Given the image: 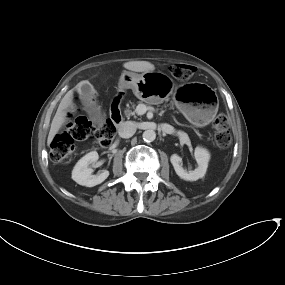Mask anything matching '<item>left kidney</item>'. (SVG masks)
Masks as SVG:
<instances>
[{
	"mask_svg": "<svg viewBox=\"0 0 285 285\" xmlns=\"http://www.w3.org/2000/svg\"><path fill=\"white\" fill-rule=\"evenodd\" d=\"M194 157L197 161L198 167L193 171H187L182 167V158L177 154L171 155L170 161L174 167L176 174L181 179L186 181H196L204 177L208 167V162L210 160V153L205 148L196 147Z\"/></svg>",
	"mask_w": 285,
	"mask_h": 285,
	"instance_id": "left-kidney-1",
	"label": "left kidney"
}]
</instances>
